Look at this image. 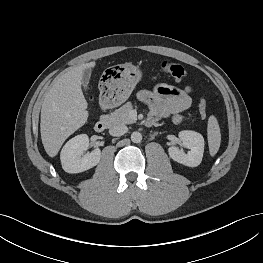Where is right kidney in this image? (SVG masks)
Segmentation results:
<instances>
[{"mask_svg": "<svg viewBox=\"0 0 263 263\" xmlns=\"http://www.w3.org/2000/svg\"><path fill=\"white\" fill-rule=\"evenodd\" d=\"M88 146L89 137L86 134L77 135L64 145L60 159L65 172L80 173L93 168L100 162V149H95L91 153L82 156L83 151Z\"/></svg>", "mask_w": 263, "mask_h": 263, "instance_id": "ca27d5eb", "label": "right kidney"}]
</instances>
